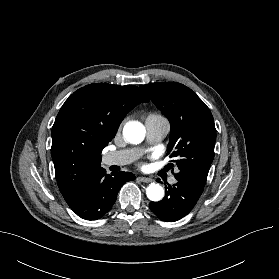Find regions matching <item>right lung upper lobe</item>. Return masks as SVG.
I'll return each mask as SVG.
<instances>
[{"mask_svg":"<svg viewBox=\"0 0 279 279\" xmlns=\"http://www.w3.org/2000/svg\"><path fill=\"white\" fill-rule=\"evenodd\" d=\"M147 96L134 85L89 84L61 107L52 127V159L58 187L72 204L101 168V152L125 115Z\"/></svg>","mask_w":279,"mask_h":279,"instance_id":"obj_1","label":"right lung upper lobe"}]
</instances>
